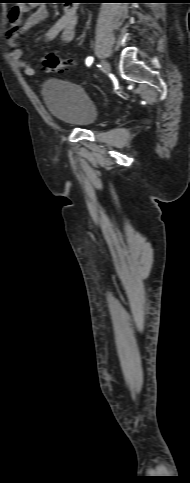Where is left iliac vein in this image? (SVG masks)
Wrapping results in <instances>:
<instances>
[{
    "mask_svg": "<svg viewBox=\"0 0 190 483\" xmlns=\"http://www.w3.org/2000/svg\"><path fill=\"white\" fill-rule=\"evenodd\" d=\"M102 68H103L104 75H107L111 70V66H110L109 62L106 61V60H104L102 62Z\"/></svg>",
    "mask_w": 190,
    "mask_h": 483,
    "instance_id": "4c4485c4",
    "label": "left iliac vein"
}]
</instances>
